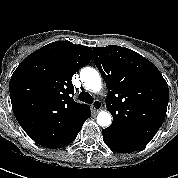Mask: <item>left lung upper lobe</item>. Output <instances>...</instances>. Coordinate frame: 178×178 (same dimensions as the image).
Instances as JSON below:
<instances>
[{
  "instance_id": "obj_1",
  "label": "left lung upper lobe",
  "mask_w": 178,
  "mask_h": 178,
  "mask_svg": "<svg viewBox=\"0 0 178 178\" xmlns=\"http://www.w3.org/2000/svg\"><path fill=\"white\" fill-rule=\"evenodd\" d=\"M93 51L108 89L106 107L113 116L106 130L145 146L166 116L169 90L165 79L149 60L128 48L109 45Z\"/></svg>"
}]
</instances>
